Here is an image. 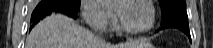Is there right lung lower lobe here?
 <instances>
[{
    "instance_id": "obj_1",
    "label": "right lung lower lobe",
    "mask_w": 213,
    "mask_h": 48,
    "mask_svg": "<svg viewBox=\"0 0 213 48\" xmlns=\"http://www.w3.org/2000/svg\"><path fill=\"white\" fill-rule=\"evenodd\" d=\"M54 12L63 13L75 18L78 10L75 9L73 6L69 5L64 0H42L32 13V26L30 27V30L41 19Z\"/></svg>"
}]
</instances>
